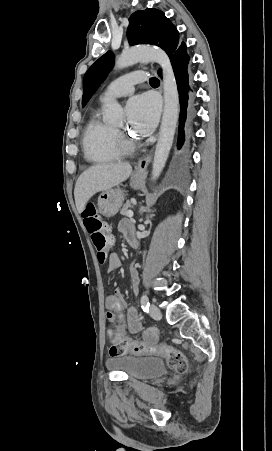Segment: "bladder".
<instances>
[{
  "mask_svg": "<svg viewBox=\"0 0 272 451\" xmlns=\"http://www.w3.org/2000/svg\"><path fill=\"white\" fill-rule=\"evenodd\" d=\"M106 368L125 373L131 379L142 380L162 376L166 370V362L163 358L149 355L123 353L111 355L106 361Z\"/></svg>",
  "mask_w": 272,
  "mask_h": 451,
  "instance_id": "1",
  "label": "bladder"
}]
</instances>
